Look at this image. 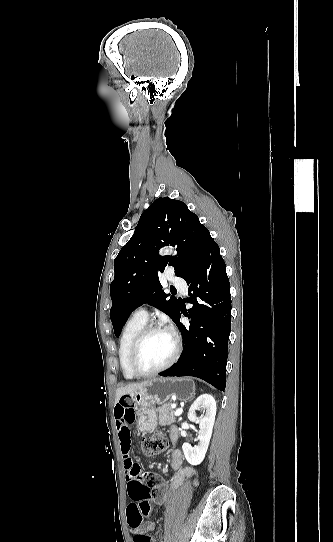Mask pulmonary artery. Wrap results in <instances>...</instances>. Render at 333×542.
Segmentation results:
<instances>
[{
	"mask_svg": "<svg viewBox=\"0 0 333 542\" xmlns=\"http://www.w3.org/2000/svg\"><path fill=\"white\" fill-rule=\"evenodd\" d=\"M173 281H174V286L177 287L178 291H181L182 295L188 294L186 283L182 282V276L180 274H175L173 276ZM149 315H150V311L148 310V308L142 306V307L137 308L132 313V318L143 321V322H147L149 319Z\"/></svg>",
	"mask_w": 333,
	"mask_h": 542,
	"instance_id": "obj_1",
	"label": "pulmonary artery"
}]
</instances>
